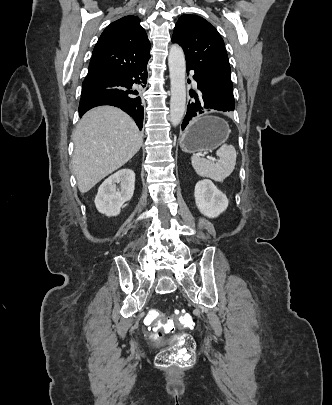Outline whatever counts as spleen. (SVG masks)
<instances>
[{"label": "spleen", "instance_id": "3e777b00", "mask_svg": "<svg viewBox=\"0 0 332 405\" xmlns=\"http://www.w3.org/2000/svg\"><path fill=\"white\" fill-rule=\"evenodd\" d=\"M216 155L219 156L216 163L193 155L191 164L198 176L209 178L215 182H223L234 170L236 150L232 145L223 144L216 151Z\"/></svg>", "mask_w": 332, "mask_h": 405}]
</instances>
